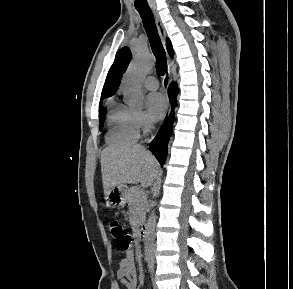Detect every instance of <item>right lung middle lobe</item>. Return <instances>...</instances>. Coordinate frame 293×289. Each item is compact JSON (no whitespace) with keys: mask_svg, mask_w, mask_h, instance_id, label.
I'll return each instance as SVG.
<instances>
[{"mask_svg":"<svg viewBox=\"0 0 293 289\" xmlns=\"http://www.w3.org/2000/svg\"><path fill=\"white\" fill-rule=\"evenodd\" d=\"M102 100V99H101ZM106 116V110L100 111L99 110V124H100V130L103 128V122Z\"/></svg>","mask_w":293,"mask_h":289,"instance_id":"1","label":"right lung middle lobe"}]
</instances>
